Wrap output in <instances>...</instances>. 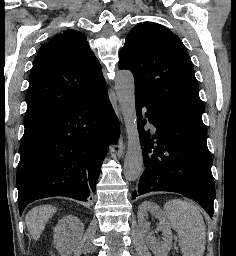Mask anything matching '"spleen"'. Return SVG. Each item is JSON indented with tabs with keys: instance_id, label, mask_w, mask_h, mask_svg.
I'll return each instance as SVG.
<instances>
[{
	"instance_id": "1",
	"label": "spleen",
	"mask_w": 236,
	"mask_h": 256,
	"mask_svg": "<svg viewBox=\"0 0 236 256\" xmlns=\"http://www.w3.org/2000/svg\"><path fill=\"white\" fill-rule=\"evenodd\" d=\"M164 208L172 228L178 234L183 256H204L206 226L197 206L185 200H171Z\"/></svg>"
}]
</instances>
